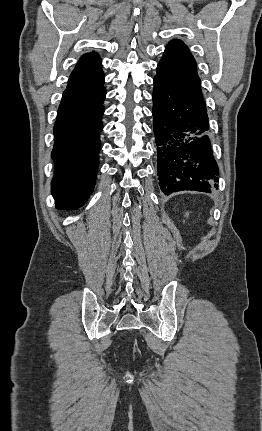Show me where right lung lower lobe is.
<instances>
[{
	"label": "right lung lower lobe",
	"instance_id": "right-lung-lower-lobe-1",
	"mask_svg": "<svg viewBox=\"0 0 262 431\" xmlns=\"http://www.w3.org/2000/svg\"><path fill=\"white\" fill-rule=\"evenodd\" d=\"M104 86L66 89L54 125L52 194L60 210L81 207L92 193L99 164Z\"/></svg>",
	"mask_w": 262,
	"mask_h": 431
}]
</instances>
